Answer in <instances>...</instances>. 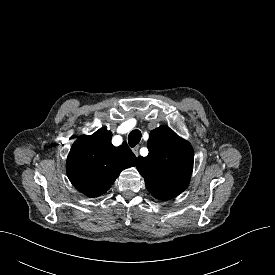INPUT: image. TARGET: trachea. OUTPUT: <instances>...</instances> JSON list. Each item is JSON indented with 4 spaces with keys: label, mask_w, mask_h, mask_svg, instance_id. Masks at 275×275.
<instances>
[{
    "label": "trachea",
    "mask_w": 275,
    "mask_h": 275,
    "mask_svg": "<svg viewBox=\"0 0 275 275\" xmlns=\"http://www.w3.org/2000/svg\"><path fill=\"white\" fill-rule=\"evenodd\" d=\"M141 132L135 129L128 135V143L130 147H135L141 140Z\"/></svg>",
    "instance_id": "trachea-1"
}]
</instances>
